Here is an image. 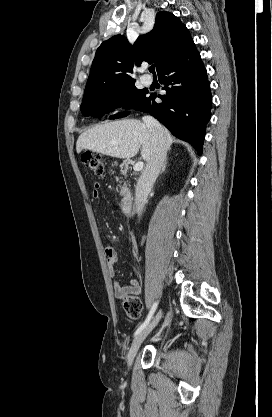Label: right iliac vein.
Wrapping results in <instances>:
<instances>
[{
	"label": "right iliac vein",
	"mask_w": 272,
	"mask_h": 417,
	"mask_svg": "<svg viewBox=\"0 0 272 417\" xmlns=\"http://www.w3.org/2000/svg\"><path fill=\"white\" fill-rule=\"evenodd\" d=\"M161 317H162V311L160 310L156 314L152 322L134 338L131 344V347L129 349V352H128V357H127L128 366L132 365V362L138 352L140 345L145 340V338L149 335V333L153 330V328L157 325Z\"/></svg>",
	"instance_id": "obj_1"
}]
</instances>
